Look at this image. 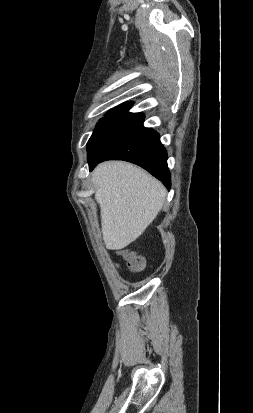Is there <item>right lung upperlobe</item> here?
I'll return each mask as SVG.
<instances>
[{
  "label": "right lung upper lobe",
  "mask_w": 253,
  "mask_h": 413,
  "mask_svg": "<svg viewBox=\"0 0 253 413\" xmlns=\"http://www.w3.org/2000/svg\"><path fill=\"white\" fill-rule=\"evenodd\" d=\"M132 102L124 103L120 106L115 107L114 109L110 110L106 115H126V116H137L143 117L141 113H129L128 110L132 106Z\"/></svg>",
  "instance_id": "right-lung-upper-lobe-1"
}]
</instances>
